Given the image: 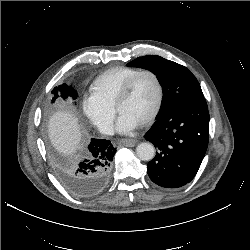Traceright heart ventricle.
I'll list each match as a JSON object with an SVG mask.
<instances>
[{"label": "right heart ventricle", "mask_w": 250, "mask_h": 250, "mask_svg": "<svg viewBox=\"0 0 250 250\" xmlns=\"http://www.w3.org/2000/svg\"><path fill=\"white\" fill-rule=\"evenodd\" d=\"M138 71V68L119 66L102 72L92 82L89 96L105 107L113 108L123 85Z\"/></svg>", "instance_id": "obj_1"}]
</instances>
